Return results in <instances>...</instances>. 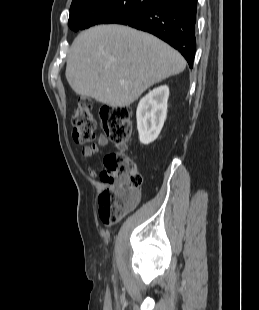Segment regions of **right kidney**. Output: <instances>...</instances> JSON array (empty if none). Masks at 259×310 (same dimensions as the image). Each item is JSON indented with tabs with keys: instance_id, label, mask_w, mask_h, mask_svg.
<instances>
[{
	"instance_id": "ca27d5eb",
	"label": "right kidney",
	"mask_w": 259,
	"mask_h": 310,
	"mask_svg": "<svg viewBox=\"0 0 259 310\" xmlns=\"http://www.w3.org/2000/svg\"><path fill=\"white\" fill-rule=\"evenodd\" d=\"M169 88L159 86L144 96L137 107V129L142 144L156 140L162 130L167 115Z\"/></svg>"
}]
</instances>
